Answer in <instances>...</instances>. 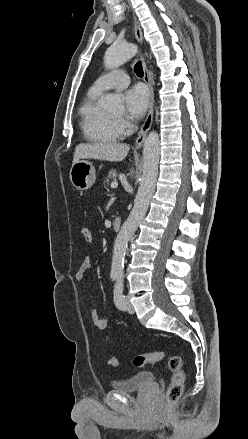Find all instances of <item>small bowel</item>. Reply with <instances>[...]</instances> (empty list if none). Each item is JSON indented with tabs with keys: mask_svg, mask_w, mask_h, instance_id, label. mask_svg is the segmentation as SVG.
I'll use <instances>...</instances> for the list:
<instances>
[{
	"mask_svg": "<svg viewBox=\"0 0 248 439\" xmlns=\"http://www.w3.org/2000/svg\"><path fill=\"white\" fill-rule=\"evenodd\" d=\"M91 266H92L91 259L89 257H86L82 261L79 269L77 270V272L75 274V279L78 282H82L84 280L85 274L88 272V270L91 268ZM97 308H98V302L94 301L92 304V309H91V318H92L93 324L98 329H105L108 326L109 320L105 317L100 316Z\"/></svg>",
	"mask_w": 248,
	"mask_h": 439,
	"instance_id": "obj_1",
	"label": "small bowel"
}]
</instances>
